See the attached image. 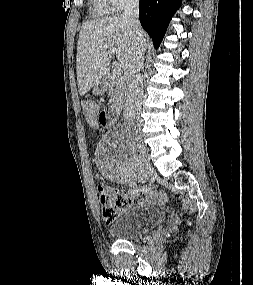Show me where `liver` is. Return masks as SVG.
<instances>
[{
	"instance_id": "obj_1",
	"label": "liver",
	"mask_w": 253,
	"mask_h": 285,
	"mask_svg": "<svg viewBox=\"0 0 253 285\" xmlns=\"http://www.w3.org/2000/svg\"><path fill=\"white\" fill-rule=\"evenodd\" d=\"M144 44L146 33L140 31ZM133 45V33L122 16L102 18L82 25L77 45V83L79 94L85 95L100 82L112 59L110 47H115L119 65L124 68Z\"/></svg>"
}]
</instances>
